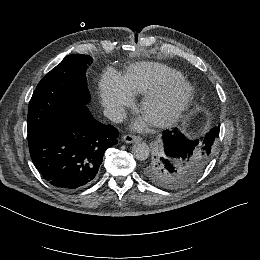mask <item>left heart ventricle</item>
<instances>
[{"instance_id":"b2bd125f","label":"left heart ventricle","mask_w":260,"mask_h":260,"mask_svg":"<svg viewBox=\"0 0 260 260\" xmlns=\"http://www.w3.org/2000/svg\"><path fill=\"white\" fill-rule=\"evenodd\" d=\"M183 96H184V88L182 86H175L165 96L162 106L168 107L177 104L181 101ZM149 114L153 118V117L160 116L162 114V111L159 109H155L154 111H152V113Z\"/></svg>"}]
</instances>
